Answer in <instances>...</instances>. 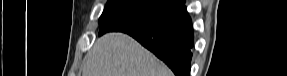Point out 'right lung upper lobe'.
<instances>
[{"instance_id":"cb5924a9","label":"right lung upper lobe","mask_w":287,"mask_h":76,"mask_svg":"<svg viewBox=\"0 0 287 76\" xmlns=\"http://www.w3.org/2000/svg\"><path fill=\"white\" fill-rule=\"evenodd\" d=\"M181 1H183V0H175L176 5H178Z\"/></svg>"}]
</instances>
